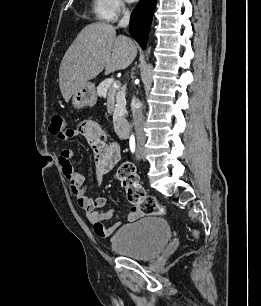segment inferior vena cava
Returning <instances> with one entry per match:
<instances>
[{
    "mask_svg": "<svg viewBox=\"0 0 261 306\" xmlns=\"http://www.w3.org/2000/svg\"><path fill=\"white\" fill-rule=\"evenodd\" d=\"M130 20V12L127 9H123V16L118 23V27H127L129 25ZM132 114H133V122L135 131L139 135H143L144 131V116L143 111L140 105V102L137 98L133 97L131 102Z\"/></svg>",
    "mask_w": 261,
    "mask_h": 306,
    "instance_id": "inferior-vena-cava-1",
    "label": "inferior vena cava"
}]
</instances>
